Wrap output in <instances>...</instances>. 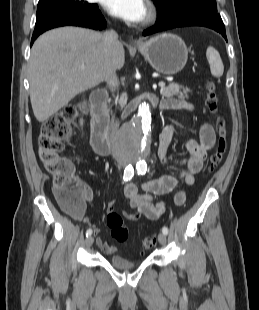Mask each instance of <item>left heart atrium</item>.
I'll use <instances>...</instances> for the list:
<instances>
[{"label":"left heart atrium","instance_id":"obj_1","mask_svg":"<svg viewBox=\"0 0 259 310\" xmlns=\"http://www.w3.org/2000/svg\"><path fill=\"white\" fill-rule=\"evenodd\" d=\"M103 5L108 13L128 22H139L146 14L144 0H103Z\"/></svg>","mask_w":259,"mask_h":310}]
</instances>
